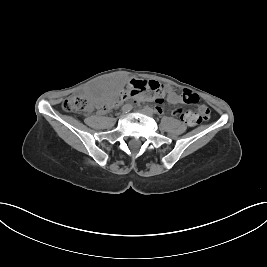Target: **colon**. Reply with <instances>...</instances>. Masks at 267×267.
I'll list each match as a JSON object with an SVG mask.
<instances>
[{"instance_id":"5ec220e1","label":"colon","mask_w":267,"mask_h":267,"mask_svg":"<svg viewBox=\"0 0 267 267\" xmlns=\"http://www.w3.org/2000/svg\"><path fill=\"white\" fill-rule=\"evenodd\" d=\"M165 93L166 90L164 86L156 81L132 80L126 89L120 90L116 95L111 97L105 107L109 109L120 100L136 98L138 96H142L143 99L146 100L160 103L163 101ZM182 100L185 103L196 105L197 112H193V114L199 122L209 119V109L205 104L199 102L200 99L198 95L193 93L191 90H184L182 92ZM63 109L72 113L86 112L90 109V101L84 95L73 94L64 100ZM176 113V115L180 118L182 117L179 110H177Z\"/></svg>"}]
</instances>
